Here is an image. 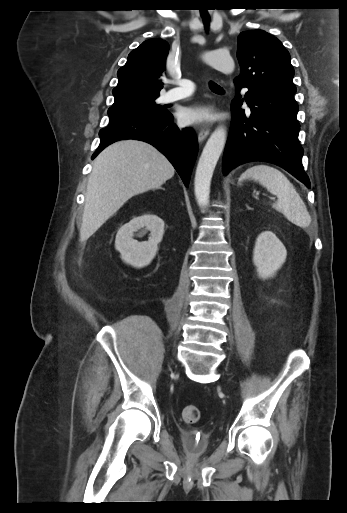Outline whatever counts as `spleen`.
I'll list each match as a JSON object with an SVG mask.
<instances>
[{"mask_svg":"<svg viewBox=\"0 0 347 513\" xmlns=\"http://www.w3.org/2000/svg\"><path fill=\"white\" fill-rule=\"evenodd\" d=\"M254 180L276 195L278 200L273 204L290 222L306 228L311 223V216L290 180L277 168L260 164L247 169L240 181Z\"/></svg>","mask_w":347,"mask_h":513,"instance_id":"3e777b00","label":"spleen"}]
</instances>
